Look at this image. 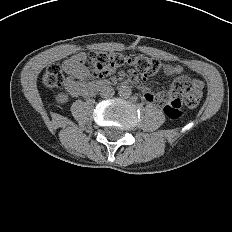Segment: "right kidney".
I'll return each instance as SVG.
<instances>
[{
  "label": "right kidney",
  "mask_w": 232,
  "mask_h": 232,
  "mask_svg": "<svg viewBox=\"0 0 232 232\" xmlns=\"http://www.w3.org/2000/svg\"><path fill=\"white\" fill-rule=\"evenodd\" d=\"M55 100L59 104H64L68 101V96L65 93H58L55 96Z\"/></svg>",
  "instance_id": "1"
}]
</instances>
